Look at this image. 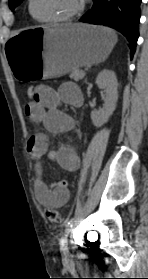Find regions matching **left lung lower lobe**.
Here are the masks:
<instances>
[{
    "instance_id": "obj_1",
    "label": "left lung lower lobe",
    "mask_w": 148,
    "mask_h": 279,
    "mask_svg": "<svg viewBox=\"0 0 148 279\" xmlns=\"http://www.w3.org/2000/svg\"><path fill=\"white\" fill-rule=\"evenodd\" d=\"M93 2L92 9L83 15L80 21L118 30L128 39L133 56L139 37L141 0H114L110 4H106V0Z\"/></svg>"
}]
</instances>
